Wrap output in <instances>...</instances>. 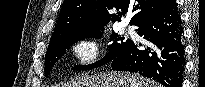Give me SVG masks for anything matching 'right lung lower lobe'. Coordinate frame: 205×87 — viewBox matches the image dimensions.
I'll use <instances>...</instances> for the list:
<instances>
[{
    "instance_id": "98d812e1",
    "label": "right lung lower lobe",
    "mask_w": 205,
    "mask_h": 87,
    "mask_svg": "<svg viewBox=\"0 0 205 87\" xmlns=\"http://www.w3.org/2000/svg\"><path fill=\"white\" fill-rule=\"evenodd\" d=\"M136 32L150 42L140 50L129 39L113 57L112 68L140 73L165 87H182L185 67L183 29L176 1L142 20ZM140 45V44H139Z\"/></svg>"
}]
</instances>
